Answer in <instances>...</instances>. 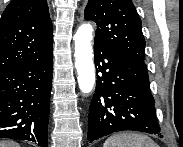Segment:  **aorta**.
Returning a JSON list of instances; mask_svg holds the SVG:
<instances>
[{"instance_id":"aorta-1","label":"aorta","mask_w":183,"mask_h":147,"mask_svg":"<svg viewBox=\"0 0 183 147\" xmlns=\"http://www.w3.org/2000/svg\"><path fill=\"white\" fill-rule=\"evenodd\" d=\"M93 28L90 24H82L74 35L75 68L78 74L79 89L90 93L95 84V68L91 46Z\"/></svg>"}]
</instances>
